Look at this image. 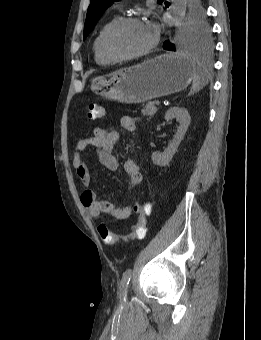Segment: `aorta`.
Masks as SVG:
<instances>
[{"instance_id":"1","label":"aorta","mask_w":261,"mask_h":340,"mask_svg":"<svg viewBox=\"0 0 261 340\" xmlns=\"http://www.w3.org/2000/svg\"><path fill=\"white\" fill-rule=\"evenodd\" d=\"M172 10L174 15L177 18L183 17L186 12V0H172ZM178 24H181L179 20L176 21Z\"/></svg>"}]
</instances>
